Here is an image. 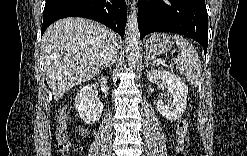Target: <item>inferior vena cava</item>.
I'll return each mask as SVG.
<instances>
[{
    "label": "inferior vena cava",
    "mask_w": 247,
    "mask_h": 156,
    "mask_svg": "<svg viewBox=\"0 0 247 156\" xmlns=\"http://www.w3.org/2000/svg\"><path fill=\"white\" fill-rule=\"evenodd\" d=\"M117 54V42L113 41L107 47V51L105 53V63L111 64L115 61V57Z\"/></svg>",
    "instance_id": "obj_1"
}]
</instances>
